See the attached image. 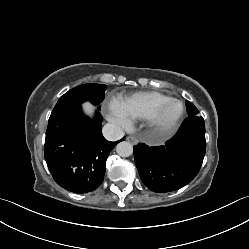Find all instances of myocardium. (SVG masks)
Listing matches in <instances>:
<instances>
[{
	"mask_svg": "<svg viewBox=\"0 0 249 249\" xmlns=\"http://www.w3.org/2000/svg\"><path fill=\"white\" fill-rule=\"evenodd\" d=\"M172 104H178L180 109L171 121L164 120V114ZM185 107L181 100L171 98L158 105L147 117L146 120L152 131L160 137H167L173 134L179 127L184 116Z\"/></svg>",
	"mask_w": 249,
	"mask_h": 249,
	"instance_id": "myocardium-1",
	"label": "myocardium"
}]
</instances>
